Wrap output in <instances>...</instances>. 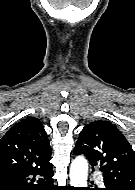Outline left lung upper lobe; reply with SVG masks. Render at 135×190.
<instances>
[{"mask_svg":"<svg viewBox=\"0 0 135 190\" xmlns=\"http://www.w3.org/2000/svg\"><path fill=\"white\" fill-rule=\"evenodd\" d=\"M74 152L99 166L105 185L115 190H135V154L127 139L111 123L94 121L80 132Z\"/></svg>","mask_w":135,"mask_h":190,"instance_id":"5c2ea615","label":"left lung upper lobe"}]
</instances>
